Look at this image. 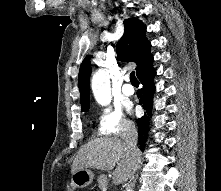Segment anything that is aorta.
Instances as JSON below:
<instances>
[{
  "mask_svg": "<svg viewBox=\"0 0 221 191\" xmlns=\"http://www.w3.org/2000/svg\"><path fill=\"white\" fill-rule=\"evenodd\" d=\"M91 87L93 95L97 102L101 105H107L111 101V91L109 78L106 72L102 69H99L93 76ZM127 191H131L128 189Z\"/></svg>",
  "mask_w": 221,
  "mask_h": 191,
  "instance_id": "obj_1",
  "label": "aorta"
}]
</instances>
